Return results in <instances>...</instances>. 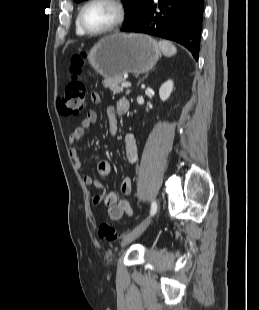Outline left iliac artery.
<instances>
[{"instance_id": "44dca946", "label": "left iliac artery", "mask_w": 259, "mask_h": 310, "mask_svg": "<svg viewBox=\"0 0 259 310\" xmlns=\"http://www.w3.org/2000/svg\"><path fill=\"white\" fill-rule=\"evenodd\" d=\"M156 211H157V203L155 201H152L150 215H154Z\"/></svg>"}]
</instances>
